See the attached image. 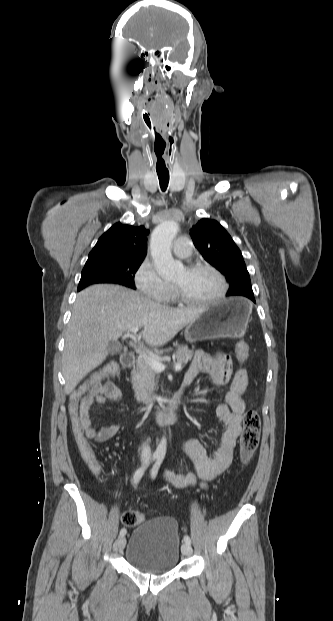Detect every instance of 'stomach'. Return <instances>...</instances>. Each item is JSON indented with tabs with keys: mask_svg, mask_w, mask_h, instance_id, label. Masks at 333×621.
Here are the masks:
<instances>
[{
	"mask_svg": "<svg viewBox=\"0 0 333 621\" xmlns=\"http://www.w3.org/2000/svg\"><path fill=\"white\" fill-rule=\"evenodd\" d=\"M252 306L242 298H230L203 308L184 330L189 342L219 337H237L247 326Z\"/></svg>",
	"mask_w": 333,
	"mask_h": 621,
	"instance_id": "obj_1",
	"label": "stomach"
}]
</instances>
